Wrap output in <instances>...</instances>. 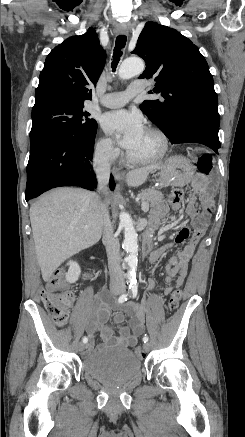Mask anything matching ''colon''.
Returning <instances> with one entry per match:
<instances>
[{"label": "colon", "mask_w": 245, "mask_h": 437, "mask_svg": "<svg viewBox=\"0 0 245 437\" xmlns=\"http://www.w3.org/2000/svg\"><path fill=\"white\" fill-rule=\"evenodd\" d=\"M212 157L209 153H201L197 160V168L203 175H208L212 170ZM184 197L181 189H175L169 196V201L172 203L182 202ZM206 212H212V204L208 200L206 204ZM65 282L63 274L58 273L53 276L46 284V289L42 292V300L46 310L51 316L54 323L58 326H63L68 320V307L73 300V293L69 290H65ZM182 298V292L176 289L172 292L169 301L168 308L170 311H175ZM134 352L138 356H143L144 352L140 346H136Z\"/></svg>", "instance_id": "5ec220e1"}]
</instances>
